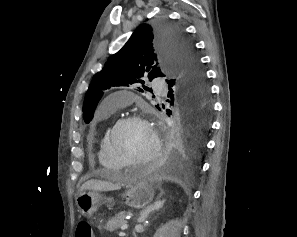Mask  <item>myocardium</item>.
Listing matches in <instances>:
<instances>
[{
	"label": "myocardium",
	"mask_w": 297,
	"mask_h": 237,
	"mask_svg": "<svg viewBox=\"0 0 297 237\" xmlns=\"http://www.w3.org/2000/svg\"><path fill=\"white\" fill-rule=\"evenodd\" d=\"M128 123H141L146 125L153 137V148L151 153L142 160H130L124 157L121 152L118 150L115 144V134L117 131L125 124ZM107 146L110 153L120 162V164L125 166H141L148 165L159 158L161 155V140L158 131L152 125V123L142 115L132 114L119 118L113 126L109 129L107 133Z\"/></svg>",
	"instance_id": "1"
}]
</instances>
